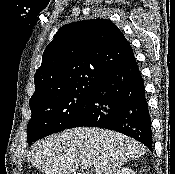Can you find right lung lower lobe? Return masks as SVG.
Masks as SVG:
<instances>
[{"instance_id": "obj_1", "label": "right lung lower lobe", "mask_w": 175, "mask_h": 174, "mask_svg": "<svg viewBox=\"0 0 175 174\" xmlns=\"http://www.w3.org/2000/svg\"><path fill=\"white\" fill-rule=\"evenodd\" d=\"M101 127L128 135L152 150L151 119L144 82L135 58L109 70L66 129Z\"/></svg>"}]
</instances>
